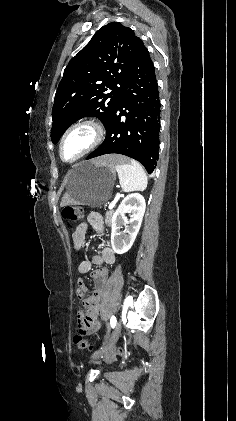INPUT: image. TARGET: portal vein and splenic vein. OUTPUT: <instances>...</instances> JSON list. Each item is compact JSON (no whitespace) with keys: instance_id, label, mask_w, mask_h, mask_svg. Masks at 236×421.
I'll return each instance as SVG.
<instances>
[{"instance_id":"1","label":"portal vein and splenic vein","mask_w":236,"mask_h":421,"mask_svg":"<svg viewBox=\"0 0 236 421\" xmlns=\"http://www.w3.org/2000/svg\"><path fill=\"white\" fill-rule=\"evenodd\" d=\"M118 198H119V194H116V196H115L114 200H112V201L110 202V204H109L108 208H113V206H115V205H116V202H117Z\"/></svg>"}]
</instances>
